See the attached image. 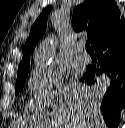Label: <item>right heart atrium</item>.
<instances>
[{
    "label": "right heart atrium",
    "mask_w": 125,
    "mask_h": 128,
    "mask_svg": "<svg viewBox=\"0 0 125 128\" xmlns=\"http://www.w3.org/2000/svg\"><path fill=\"white\" fill-rule=\"evenodd\" d=\"M29 92L37 107H50L62 92L60 77L50 69H38L29 78Z\"/></svg>",
    "instance_id": "obj_1"
}]
</instances>
